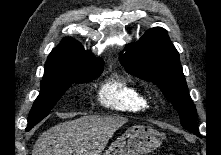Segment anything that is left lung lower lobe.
Segmentation results:
<instances>
[{"instance_id": "obj_1", "label": "left lung lower lobe", "mask_w": 221, "mask_h": 155, "mask_svg": "<svg viewBox=\"0 0 221 155\" xmlns=\"http://www.w3.org/2000/svg\"><path fill=\"white\" fill-rule=\"evenodd\" d=\"M196 135L200 137V134H199V133H198V134H196Z\"/></svg>"}]
</instances>
